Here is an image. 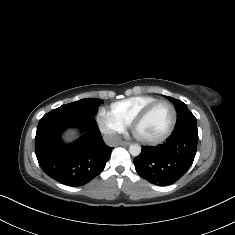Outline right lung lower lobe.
I'll return each instance as SVG.
<instances>
[{
	"instance_id": "obj_1",
	"label": "right lung lower lobe",
	"mask_w": 235,
	"mask_h": 235,
	"mask_svg": "<svg viewBox=\"0 0 235 235\" xmlns=\"http://www.w3.org/2000/svg\"><path fill=\"white\" fill-rule=\"evenodd\" d=\"M69 127L83 135L73 144H64L61 133ZM93 116L54 109L39 121L35 152L42 170L54 180L82 186L102 172L112 148L107 146Z\"/></svg>"
}]
</instances>
